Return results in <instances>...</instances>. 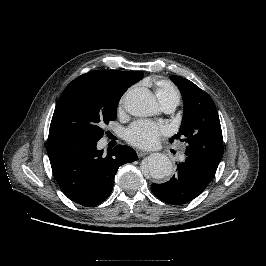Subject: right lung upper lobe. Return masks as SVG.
<instances>
[{
  "instance_id": "cb5924a9",
  "label": "right lung upper lobe",
  "mask_w": 266,
  "mask_h": 266,
  "mask_svg": "<svg viewBox=\"0 0 266 266\" xmlns=\"http://www.w3.org/2000/svg\"><path fill=\"white\" fill-rule=\"evenodd\" d=\"M143 77L140 71L124 72L115 70H95L73 80L66 88L78 85H95L126 91L128 87Z\"/></svg>"
}]
</instances>
